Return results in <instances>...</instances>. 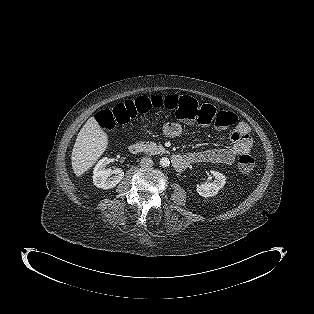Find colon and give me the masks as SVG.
Returning <instances> with one entry per match:
<instances>
[{
    "instance_id": "1",
    "label": "colon",
    "mask_w": 314,
    "mask_h": 314,
    "mask_svg": "<svg viewBox=\"0 0 314 314\" xmlns=\"http://www.w3.org/2000/svg\"><path fill=\"white\" fill-rule=\"evenodd\" d=\"M162 107L173 111L176 118L185 123L196 122L213 125L218 129H227L236 123V118L231 112L217 110L211 105L199 104L190 96L175 94L165 97L160 95L141 96L133 100H126L113 109L99 111L95 120L100 128L113 130L117 126L131 123L139 115ZM237 165L241 172L247 173L254 168L255 159L249 154H243L239 156Z\"/></svg>"
}]
</instances>
